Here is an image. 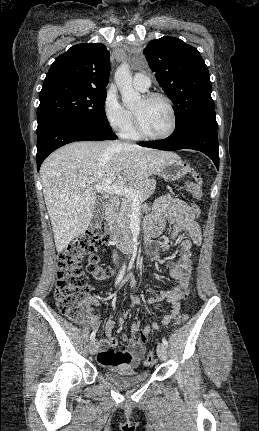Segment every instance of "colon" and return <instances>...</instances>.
Instances as JSON below:
<instances>
[{"mask_svg":"<svg viewBox=\"0 0 259 431\" xmlns=\"http://www.w3.org/2000/svg\"><path fill=\"white\" fill-rule=\"evenodd\" d=\"M192 180L186 184L187 191L195 198L202 196V178L198 172L191 173ZM189 212L194 220L200 217L202 208L191 200L188 203ZM110 240L109 230L104 226H97L86 231L82 236L72 241L57 259V282L55 289V301L62 315L74 322L88 319L86 302L90 292L87 276L82 268L81 259L91 253L95 247ZM98 255H92L87 265V272L99 282L107 280L112 275V270L100 265ZM189 316L186 313L178 314L175 320L176 326L183 325ZM147 340V337H143ZM154 362L153 352H149L143 363L146 366Z\"/></svg>","mask_w":259,"mask_h":431,"instance_id":"1","label":"colon"}]
</instances>
